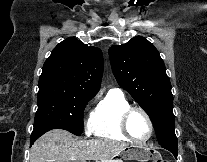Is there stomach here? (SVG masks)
Listing matches in <instances>:
<instances>
[{
	"label": "stomach",
	"instance_id": "1",
	"mask_svg": "<svg viewBox=\"0 0 207 162\" xmlns=\"http://www.w3.org/2000/svg\"><path fill=\"white\" fill-rule=\"evenodd\" d=\"M138 161L148 162L149 160H163L161 155L150 148L140 146L126 147L112 162Z\"/></svg>",
	"mask_w": 207,
	"mask_h": 162
}]
</instances>
